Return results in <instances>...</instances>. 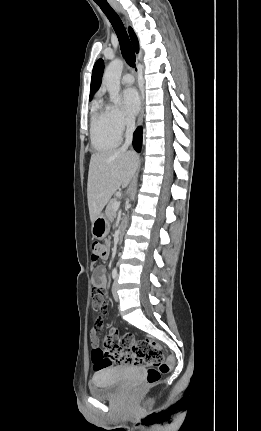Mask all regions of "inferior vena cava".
I'll list each match as a JSON object with an SVG mask.
<instances>
[{
	"label": "inferior vena cava",
	"mask_w": 261,
	"mask_h": 431,
	"mask_svg": "<svg viewBox=\"0 0 261 431\" xmlns=\"http://www.w3.org/2000/svg\"><path fill=\"white\" fill-rule=\"evenodd\" d=\"M127 128H126V134H125V143L122 146V149H127L128 146L132 143L133 139V132L135 129V120L134 118H128L126 122Z\"/></svg>",
	"instance_id": "inferior-vena-cava-1"
}]
</instances>
